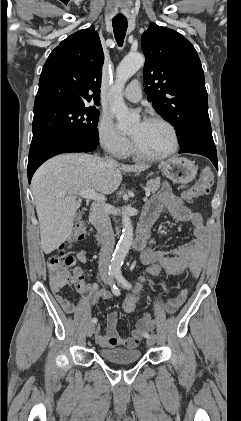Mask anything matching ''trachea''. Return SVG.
Listing matches in <instances>:
<instances>
[{"label": "trachea", "instance_id": "trachea-1", "mask_svg": "<svg viewBox=\"0 0 241 421\" xmlns=\"http://www.w3.org/2000/svg\"><path fill=\"white\" fill-rule=\"evenodd\" d=\"M113 31L115 35V39L119 46L123 45L124 38L127 31V19H113Z\"/></svg>", "mask_w": 241, "mask_h": 421}]
</instances>
